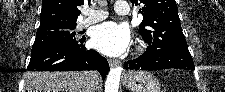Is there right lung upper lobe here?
<instances>
[{"label":"right lung upper lobe","mask_w":225,"mask_h":92,"mask_svg":"<svg viewBox=\"0 0 225 92\" xmlns=\"http://www.w3.org/2000/svg\"><path fill=\"white\" fill-rule=\"evenodd\" d=\"M83 4L84 0H42L40 25L48 23H76L81 13L78 7Z\"/></svg>","instance_id":"1"}]
</instances>
